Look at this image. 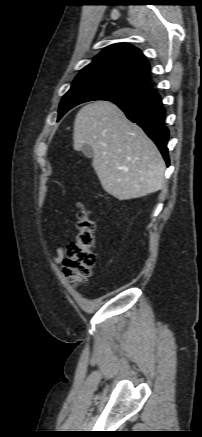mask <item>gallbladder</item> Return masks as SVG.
<instances>
[{
    "label": "gallbladder",
    "instance_id": "obj_1",
    "mask_svg": "<svg viewBox=\"0 0 202 437\" xmlns=\"http://www.w3.org/2000/svg\"><path fill=\"white\" fill-rule=\"evenodd\" d=\"M81 152L87 158H92L94 156V152H93L92 148L87 144L83 145V147L81 148Z\"/></svg>",
    "mask_w": 202,
    "mask_h": 437
}]
</instances>
